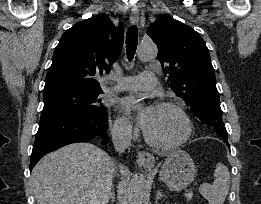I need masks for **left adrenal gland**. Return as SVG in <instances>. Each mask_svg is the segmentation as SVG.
<instances>
[{"mask_svg":"<svg viewBox=\"0 0 261 204\" xmlns=\"http://www.w3.org/2000/svg\"><path fill=\"white\" fill-rule=\"evenodd\" d=\"M161 198H166V196L162 194V192H161L160 189H158V190H157V194H156V198H155V204H157L158 201H159Z\"/></svg>","mask_w":261,"mask_h":204,"instance_id":"left-adrenal-gland-1","label":"left adrenal gland"}]
</instances>
